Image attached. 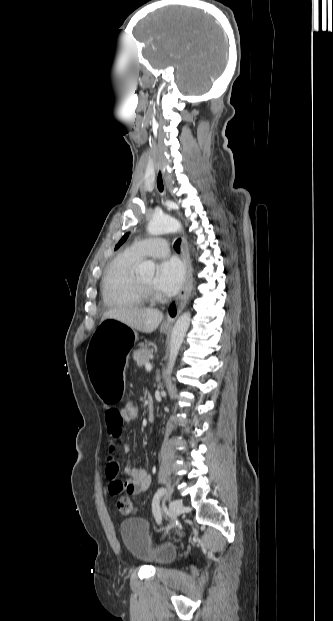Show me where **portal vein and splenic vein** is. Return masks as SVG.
Returning a JSON list of instances; mask_svg holds the SVG:
<instances>
[{"mask_svg": "<svg viewBox=\"0 0 333 621\" xmlns=\"http://www.w3.org/2000/svg\"><path fill=\"white\" fill-rule=\"evenodd\" d=\"M145 369H146V371H151L152 370V365L150 363L145 364Z\"/></svg>", "mask_w": 333, "mask_h": 621, "instance_id": "1", "label": "portal vein and splenic vein"}]
</instances>
